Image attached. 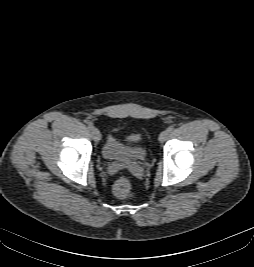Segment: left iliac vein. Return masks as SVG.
Returning <instances> with one entry per match:
<instances>
[{
  "label": "left iliac vein",
  "instance_id": "4c4485c4",
  "mask_svg": "<svg viewBox=\"0 0 254 267\" xmlns=\"http://www.w3.org/2000/svg\"><path fill=\"white\" fill-rule=\"evenodd\" d=\"M169 131L168 130H164V131H162L161 133H160V135H159V141L161 142V143H163L164 141H166L167 140V138H168V136H169Z\"/></svg>",
  "mask_w": 254,
  "mask_h": 267
}]
</instances>
